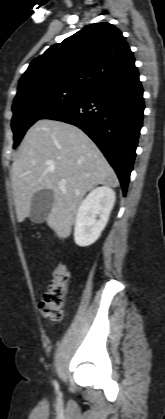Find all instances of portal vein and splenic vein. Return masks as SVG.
Segmentation results:
<instances>
[{"label": "portal vein and splenic vein", "instance_id": "obj_1", "mask_svg": "<svg viewBox=\"0 0 165 419\" xmlns=\"http://www.w3.org/2000/svg\"><path fill=\"white\" fill-rule=\"evenodd\" d=\"M60 184H61L62 186H64V185L66 184V180H65V179H61V180H60Z\"/></svg>", "mask_w": 165, "mask_h": 419}]
</instances>
